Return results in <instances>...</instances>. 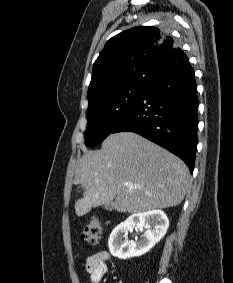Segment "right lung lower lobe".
Masks as SVG:
<instances>
[{
	"label": "right lung lower lobe",
	"mask_w": 233,
	"mask_h": 283,
	"mask_svg": "<svg viewBox=\"0 0 233 283\" xmlns=\"http://www.w3.org/2000/svg\"><path fill=\"white\" fill-rule=\"evenodd\" d=\"M197 86L186 57L158 75L111 133L131 131L180 157L193 172L197 144Z\"/></svg>",
	"instance_id": "98d812e1"
}]
</instances>
